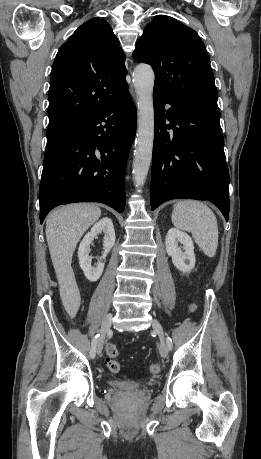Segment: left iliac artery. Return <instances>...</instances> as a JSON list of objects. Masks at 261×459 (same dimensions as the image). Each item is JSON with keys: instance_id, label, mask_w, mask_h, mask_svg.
Wrapping results in <instances>:
<instances>
[{"instance_id": "left-iliac-artery-1", "label": "left iliac artery", "mask_w": 261, "mask_h": 459, "mask_svg": "<svg viewBox=\"0 0 261 459\" xmlns=\"http://www.w3.org/2000/svg\"><path fill=\"white\" fill-rule=\"evenodd\" d=\"M166 342H167L168 349L171 350L173 347L172 339L170 337H167Z\"/></svg>"}]
</instances>
